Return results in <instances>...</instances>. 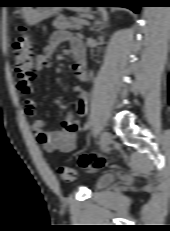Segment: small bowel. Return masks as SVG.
Returning <instances> with one entry per match:
<instances>
[{
    "instance_id": "c3829d8e",
    "label": "small bowel",
    "mask_w": 170,
    "mask_h": 231,
    "mask_svg": "<svg viewBox=\"0 0 170 231\" xmlns=\"http://www.w3.org/2000/svg\"><path fill=\"white\" fill-rule=\"evenodd\" d=\"M70 39L69 36L62 31L54 32L45 46L43 52L36 56V74L50 66L51 57L57 46L62 42ZM73 51L82 50L81 44L76 39H71ZM72 71L75 77L83 82L86 80V74L83 65L74 64ZM33 80L19 81L17 88L24 95V109L27 115L33 117L36 115L37 101L33 95ZM78 92V114L82 116L86 112L87 95L81 87H77ZM32 130L38 142L47 152L60 151L63 153L72 152L77 145V134L80 130V122L74 118L72 114H68L63 122L60 130H49L45 128L44 121L35 119L32 123Z\"/></svg>"
}]
</instances>
